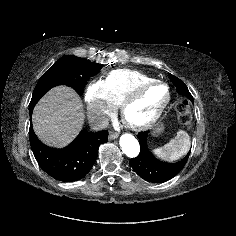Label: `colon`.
<instances>
[{"instance_id":"1","label":"colon","mask_w":236,"mask_h":236,"mask_svg":"<svg viewBox=\"0 0 236 236\" xmlns=\"http://www.w3.org/2000/svg\"><path fill=\"white\" fill-rule=\"evenodd\" d=\"M176 111L178 113L180 123L185 126H189L192 121L189 104L184 100H179L176 104Z\"/></svg>"}]
</instances>
